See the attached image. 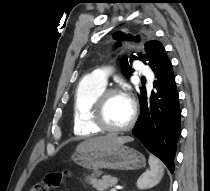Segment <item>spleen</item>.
I'll use <instances>...</instances> for the list:
<instances>
[{"label": "spleen", "instance_id": "obj_1", "mask_svg": "<svg viewBox=\"0 0 210 191\" xmlns=\"http://www.w3.org/2000/svg\"><path fill=\"white\" fill-rule=\"evenodd\" d=\"M150 170L144 172L137 180V187L141 190L152 188L160 182L164 175V168L161 161L153 156H149Z\"/></svg>", "mask_w": 210, "mask_h": 191}]
</instances>
